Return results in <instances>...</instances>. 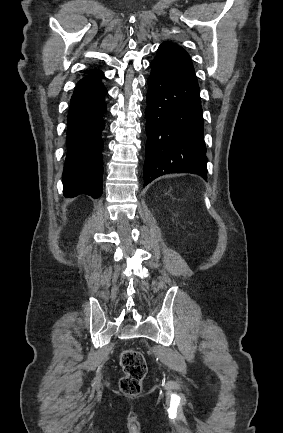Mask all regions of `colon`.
Masks as SVG:
<instances>
[{
	"mask_svg": "<svg viewBox=\"0 0 283 433\" xmlns=\"http://www.w3.org/2000/svg\"><path fill=\"white\" fill-rule=\"evenodd\" d=\"M120 366L124 374L119 382L121 392L130 396L139 394L147 373L143 354L134 349L124 350L120 356Z\"/></svg>",
	"mask_w": 283,
	"mask_h": 433,
	"instance_id": "1",
	"label": "colon"
}]
</instances>
